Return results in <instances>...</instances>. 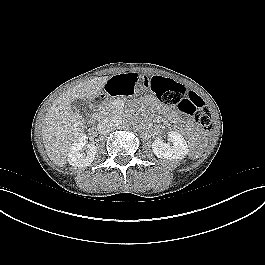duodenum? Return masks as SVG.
<instances>
[{
    "instance_id": "410a0bca",
    "label": "duodenum",
    "mask_w": 265,
    "mask_h": 265,
    "mask_svg": "<svg viewBox=\"0 0 265 265\" xmlns=\"http://www.w3.org/2000/svg\"><path fill=\"white\" fill-rule=\"evenodd\" d=\"M94 117L95 118H98L99 117V113L97 111L94 113Z\"/></svg>"
}]
</instances>
